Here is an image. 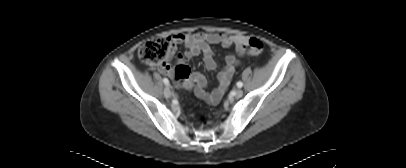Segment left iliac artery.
I'll list each match as a JSON object with an SVG mask.
<instances>
[{"instance_id": "left-iliac-artery-1", "label": "left iliac artery", "mask_w": 406, "mask_h": 168, "mask_svg": "<svg viewBox=\"0 0 406 168\" xmlns=\"http://www.w3.org/2000/svg\"><path fill=\"white\" fill-rule=\"evenodd\" d=\"M243 86V83L241 81L237 82V87L241 88Z\"/></svg>"}]
</instances>
